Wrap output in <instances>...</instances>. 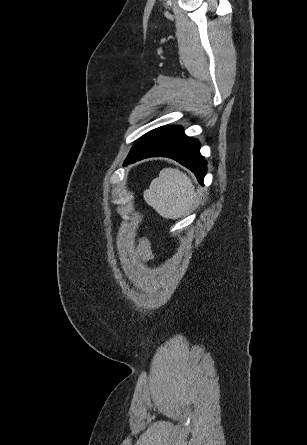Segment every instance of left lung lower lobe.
Wrapping results in <instances>:
<instances>
[{"label": "left lung lower lobe", "mask_w": 307, "mask_h": 445, "mask_svg": "<svg viewBox=\"0 0 307 445\" xmlns=\"http://www.w3.org/2000/svg\"><path fill=\"white\" fill-rule=\"evenodd\" d=\"M199 149V142L187 137L181 126H169L144 142L125 160L124 166L148 157H169L193 171L198 181L203 184L207 166Z\"/></svg>", "instance_id": "1"}]
</instances>
